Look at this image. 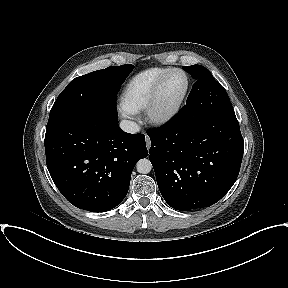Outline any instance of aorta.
Segmentation results:
<instances>
[{
    "instance_id": "aorta-1",
    "label": "aorta",
    "mask_w": 288,
    "mask_h": 288,
    "mask_svg": "<svg viewBox=\"0 0 288 288\" xmlns=\"http://www.w3.org/2000/svg\"><path fill=\"white\" fill-rule=\"evenodd\" d=\"M137 171L141 174H148L152 170V164L149 159H140L136 164Z\"/></svg>"
}]
</instances>
